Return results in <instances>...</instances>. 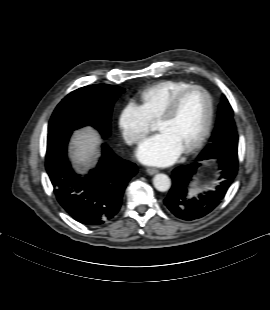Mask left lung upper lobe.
<instances>
[{"label": "left lung upper lobe", "mask_w": 270, "mask_h": 310, "mask_svg": "<svg viewBox=\"0 0 270 310\" xmlns=\"http://www.w3.org/2000/svg\"><path fill=\"white\" fill-rule=\"evenodd\" d=\"M238 135L236 125L233 118V110L223 96V101L220 104L217 124L211 138V143L202 152L199 160L205 159H237Z\"/></svg>", "instance_id": "1"}]
</instances>
